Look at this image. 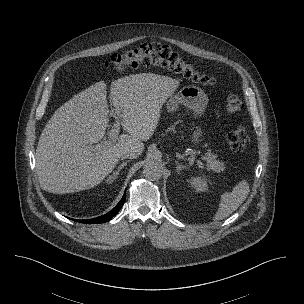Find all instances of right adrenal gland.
Listing matches in <instances>:
<instances>
[{"mask_svg": "<svg viewBox=\"0 0 304 304\" xmlns=\"http://www.w3.org/2000/svg\"><path fill=\"white\" fill-rule=\"evenodd\" d=\"M129 163V161L123 162L119 167L117 168L116 171L113 172L112 175L109 176L110 182H113L114 180L117 179L119 172Z\"/></svg>", "mask_w": 304, "mask_h": 304, "instance_id": "right-adrenal-gland-1", "label": "right adrenal gland"}]
</instances>
